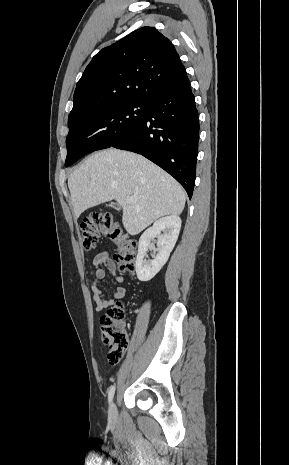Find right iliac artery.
I'll return each mask as SVG.
<instances>
[{
  "label": "right iliac artery",
  "mask_w": 289,
  "mask_h": 465,
  "mask_svg": "<svg viewBox=\"0 0 289 465\" xmlns=\"http://www.w3.org/2000/svg\"><path fill=\"white\" fill-rule=\"evenodd\" d=\"M115 393V386H111L108 391V402L111 403Z\"/></svg>",
  "instance_id": "obj_1"
}]
</instances>
